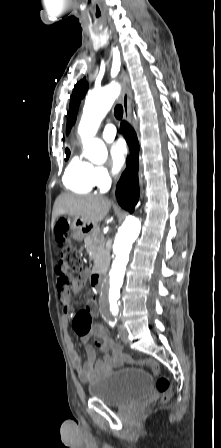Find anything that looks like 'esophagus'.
<instances>
[{
	"label": "esophagus",
	"mask_w": 221,
	"mask_h": 448,
	"mask_svg": "<svg viewBox=\"0 0 221 448\" xmlns=\"http://www.w3.org/2000/svg\"><path fill=\"white\" fill-rule=\"evenodd\" d=\"M118 81L121 84V92H120V99L122 101L123 106V112H124V119L127 122H130V112H131V99H130V90H129V81L128 76L124 69H121L119 75H118Z\"/></svg>",
	"instance_id": "esophagus-1"
}]
</instances>
